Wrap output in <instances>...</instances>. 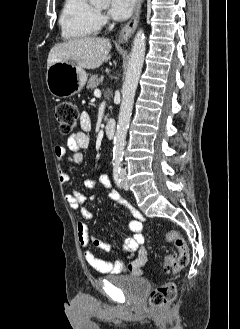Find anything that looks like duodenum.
I'll use <instances>...</instances> for the list:
<instances>
[{
  "mask_svg": "<svg viewBox=\"0 0 240 329\" xmlns=\"http://www.w3.org/2000/svg\"><path fill=\"white\" fill-rule=\"evenodd\" d=\"M116 124L113 119H108L105 125V135L107 138L112 139L115 135Z\"/></svg>",
  "mask_w": 240,
  "mask_h": 329,
  "instance_id": "duodenum-1",
  "label": "duodenum"
}]
</instances>
